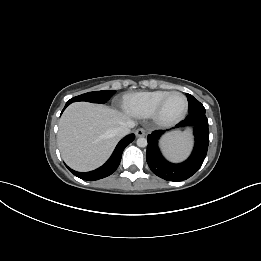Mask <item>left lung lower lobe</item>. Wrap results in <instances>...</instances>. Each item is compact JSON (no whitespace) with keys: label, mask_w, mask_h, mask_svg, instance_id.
Here are the masks:
<instances>
[{"label":"left lung lower lobe","mask_w":261,"mask_h":261,"mask_svg":"<svg viewBox=\"0 0 261 261\" xmlns=\"http://www.w3.org/2000/svg\"><path fill=\"white\" fill-rule=\"evenodd\" d=\"M191 126L194 130L195 146L190 157L179 164L167 161L158 147V140L165 131L158 130L148 135L147 163L154 174L167 181H183L195 174L201 167L208 149L209 129L205 113H190L177 127Z\"/></svg>","instance_id":"obj_1"}]
</instances>
